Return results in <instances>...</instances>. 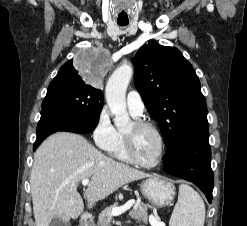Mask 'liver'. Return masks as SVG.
<instances>
[{"label":"liver","mask_w":247,"mask_h":226,"mask_svg":"<svg viewBox=\"0 0 247 226\" xmlns=\"http://www.w3.org/2000/svg\"><path fill=\"white\" fill-rule=\"evenodd\" d=\"M146 177L150 175L107 157L81 135L55 133L34 154L30 185L35 224L78 218L84 203L77 187L83 179H90L84 195L91 208L121 186Z\"/></svg>","instance_id":"liver-1"}]
</instances>
